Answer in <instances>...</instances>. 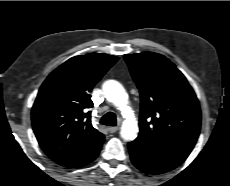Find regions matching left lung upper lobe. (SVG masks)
<instances>
[{"instance_id": "obj_1", "label": "left lung upper lobe", "mask_w": 230, "mask_h": 186, "mask_svg": "<svg viewBox=\"0 0 230 186\" xmlns=\"http://www.w3.org/2000/svg\"><path fill=\"white\" fill-rule=\"evenodd\" d=\"M141 95L139 139L191 152L200 132L198 99L185 76L163 55L126 54Z\"/></svg>"}]
</instances>
